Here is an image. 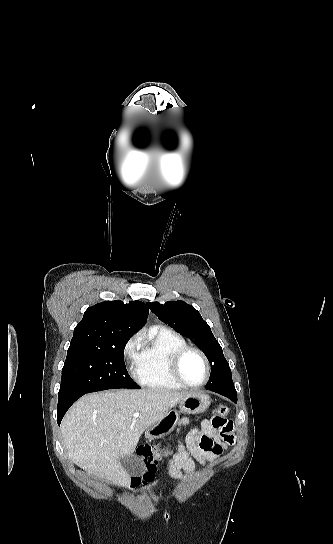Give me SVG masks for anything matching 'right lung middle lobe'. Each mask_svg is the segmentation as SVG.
Here are the masks:
<instances>
[{
  "label": "right lung middle lobe",
  "mask_w": 333,
  "mask_h": 544,
  "mask_svg": "<svg viewBox=\"0 0 333 544\" xmlns=\"http://www.w3.org/2000/svg\"><path fill=\"white\" fill-rule=\"evenodd\" d=\"M129 339L130 336L116 338L104 348L68 349L59 393L139 389L129 376L124 362V348Z\"/></svg>",
  "instance_id": "dd1d6c3e"
}]
</instances>
